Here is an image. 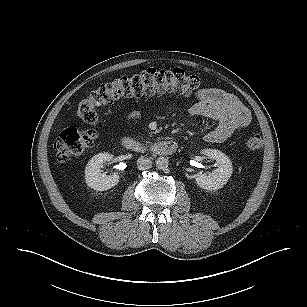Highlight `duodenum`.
Segmentation results:
<instances>
[{"mask_svg":"<svg viewBox=\"0 0 307 307\" xmlns=\"http://www.w3.org/2000/svg\"><path fill=\"white\" fill-rule=\"evenodd\" d=\"M123 147L133 153H146L158 156H170L176 152L178 144L174 140H160L148 147L143 142L138 141L132 137L126 136L122 139Z\"/></svg>","mask_w":307,"mask_h":307,"instance_id":"duodenum-1","label":"duodenum"}]
</instances>
